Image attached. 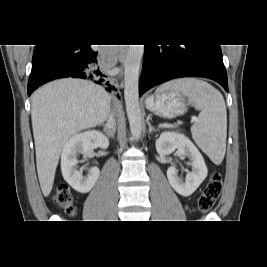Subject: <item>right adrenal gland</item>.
<instances>
[{
  "instance_id": "2a0ac1e0",
  "label": "right adrenal gland",
  "mask_w": 267,
  "mask_h": 267,
  "mask_svg": "<svg viewBox=\"0 0 267 267\" xmlns=\"http://www.w3.org/2000/svg\"><path fill=\"white\" fill-rule=\"evenodd\" d=\"M101 126H103V130H104V132H106L107 131V134L109 135V136H114V129L110 132L108 129H107V127H106V125L105 124H101Z\"/></svg>"
}]
</instances>
